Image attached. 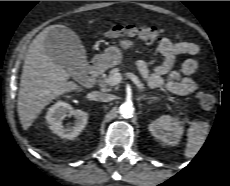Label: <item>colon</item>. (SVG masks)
Segmentation results:
<instances>
[{
	"label": "colon",
	"mask_w": 230,
	"mask_h": 186,
	"mask_svg": "<svg viewBox=\"0 0 230 186\" xmlns=\"http://www.w3.org/2000/svg\"><path fill=\"white\" fill-rule=\"evenodd\" d=\"M164 30L159 26H142L121 25L117 24L106 30L103 34L105 38L117 39L122 37H136L146 43L159 41ZM197 98L202 107L209 109L215 105V96L207 91H200Z\"/></svg>",
	"instance_id": "obj_1"
}]
</instances>
